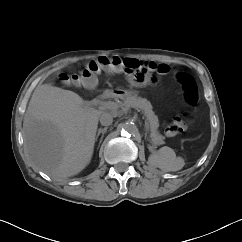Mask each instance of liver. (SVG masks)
<instances>
[{"mask_svg":"<svg viewBox=\"0 0 242 242\" xmlns=\"http://www.w3.org/2000/svg\"><path fill=\"white\" fill-rule=\"evenodd\" d=\"M100 114L72 91L38 85L23 120L33 166L59 180L79 174L91 161Z\"/></svg>","mask_w":242,"mask_h":242,"instance_id":"liver-1","label":"liver"}]
</instances>
